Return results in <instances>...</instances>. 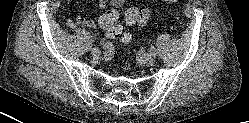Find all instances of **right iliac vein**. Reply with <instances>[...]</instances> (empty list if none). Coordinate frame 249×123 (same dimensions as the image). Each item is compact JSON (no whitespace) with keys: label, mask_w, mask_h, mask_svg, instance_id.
I'll use <instances>...</instances> for the list:
<instances>
[{"label":"right iliac vein","mask_w":249,"mask_h":123,"mask_svg":"<svg viewBox=\"0 0 249 123\" xmlns=\"http://www.w3.org/2000/svg\"><path fill=\"white\" fill-rule=\"evenodd\" d=\"M91 54L95 57H98L100 55V50L98 48H93L91 50Z\"/></svg>","instance_id":"63e3f726"}]
</instances>
